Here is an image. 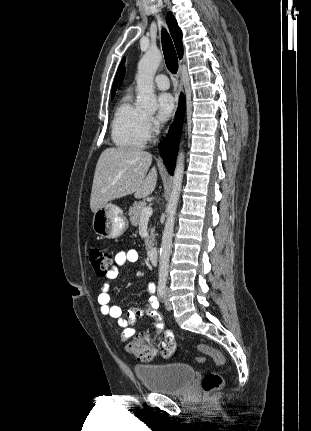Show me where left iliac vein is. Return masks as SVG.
<instances>
[{"mask_svg": "<svg viewBox=\"0 0 311 431\" xmlns=\"http://www.w3.org/2000/svg\"><path fill=\"white\" fill-rule=\"evenodd\" d=\"M164 301H165V308H166V310H171L172 309V304L169 301V291L167 289H166V292H165Z\"/></svg>", "mask_w": 311, "mask_h": 431, "instance_id": "obj_1", "label": "left iliac vein"}]
</instances>
